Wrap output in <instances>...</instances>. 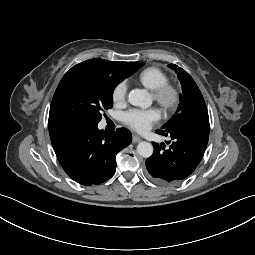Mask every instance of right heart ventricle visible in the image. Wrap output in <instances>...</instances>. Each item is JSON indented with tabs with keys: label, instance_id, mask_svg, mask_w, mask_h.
I'll list each match as a JSON object with an SVG mask.
<instances>
[{
	"label": "right heart ventricle",
	"instance_id": "e07e8e85",
	"mask_svg": "<svg viewBox=\"0 0 255 255\" xmlns=\"http://www.w3.org/2000/svg\"><path fill=\"white\" fill-rule=\"evenodd\" d=\"M137 79L139 83L151 91L168 83L167 74L157 67H147L143 69L138 74Z\"/></svg>",
	"mask_w": 255,
	"mask_h": 255
}]
</instances>
